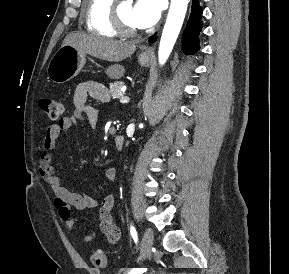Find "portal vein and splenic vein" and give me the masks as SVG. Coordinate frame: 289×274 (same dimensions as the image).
Here are the masks:
<instances>
[{
	"instance_id": "obj_1",
	"label": "portal vein and splenic vein",
	"mask_w": 289,
	"mask_h": 274,
	"mask_svg": "<svg viewBox=\"0 0 289 274\" xmlns=\"http://www.w3.org/2000/svg\"><path fill=\"white\" fill-rule=\"evenodd\" d=\"M127 102H129V97H127V96H122L121 98H120V103H127Z\"/></svg>"
}]
</instances>
